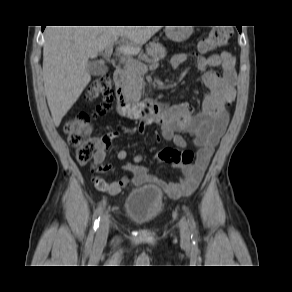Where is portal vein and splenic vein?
<instances>
[{"label":"portal vein and splenic vein","mask_w":292,"mask_h":292,"mask_svg":"<svg viewBox=\"0 0 292 292\" xmlns=\"http://www.w3.org/2000/svg\"><path fill=\"white\" fill-rule=\"evenodd\" d=\"M113 52V46H109L105 49V57L106 58H110L111 57V54ZM120 60L125 63V65H130V64H133L135 60H133L130 56L128 57H120ZM159 66V62L158 60H154L149 66H146L145 64H140L139 65V68L141 70H143L144 72H146L149 69H156L157 67Z\"/></svg>","instance_id":"obj_1"}]
</instances>
